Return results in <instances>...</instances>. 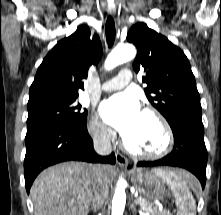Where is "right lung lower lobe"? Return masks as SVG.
Here are the masks:
<instances>
[{
  "label": "right lung lower lobe",
  "mask_w": 221,
  "mask_h": 215,
  "mask_svg": "<svg viewBox=\"0 0 221 215\" xmlns=\"http://www.w3.org/2000/svg\"><path fill=\"white\" fill-rule=\"evenodd\" d=\"M24 160L27 193L36 176L45 168L69 160L115 164V155L98 156L88 134L86 122L74 124L63 121L45 123L27 130Z\"/></svg>",
  "instance_id": "98d812e1"
}]
</instances>
